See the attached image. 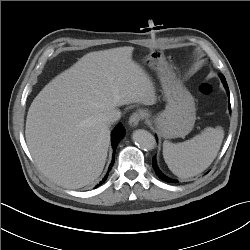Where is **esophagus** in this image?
Returning a JSON list of instances; mask_svg holds the SVG:
<instances>
[{
    "mask_svg": "<svg viewBox=\"0 0 250 250\" xmlns=\"http://www.w3.org/2000/svg\"><path fill=\"white\" fill-rule=\"evenodd\" d=\"M142 118H143L142 112L136 111V112L132 113L131 116L129 117V121H128L130 127H132V128L137 127Z\"/></svg>",
    "mask_w": 250,
    "mask_h": 250,
    "instance_id": "1",
    "label": "esophagus"
}]
</instances>
